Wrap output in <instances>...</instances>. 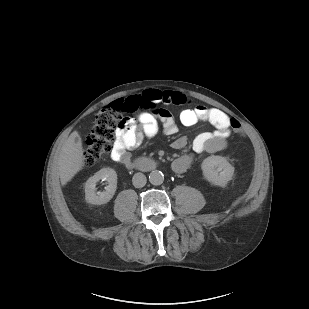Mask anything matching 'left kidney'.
I'll return each mask as SVG.
<instances>
[{
    "label": "left kidney",
    "instance_id": "left-kidney-1",
    "mask_svg": "<svg viewBox=\"0 0 309 309\" xmlns=\"http://www.w3.org/2000/svg\"><path fill=\"white\" fill-rule=\"evenodd\" d=\"M201 169L208 182L220 187L226 186L234 174V167L221 156L207 157L203 160Z\"/></svg>",
    "mask_w": 309,
    "mask_h": 309
}]
</instances>
